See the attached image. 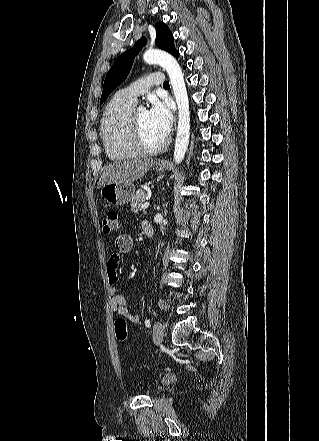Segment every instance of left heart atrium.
<instances>
[{
  "mask_svg": "<svg viewBox=\"0 0 319 441\" xmlns=\"http://www.w3.org/2000/svg\"><path fill=\"white\" fill-rule=\"evenodd\" d=\"M155 131L163 138L167 137L172 128V113L167 104L153 99L147 112Z\"/></svg>",
  "mask_w": 319,
  "mask_h": 441,
  "instance_id": "left-heart-atrium-1",
  "label": "left heart atrium"
}]
</instances>
